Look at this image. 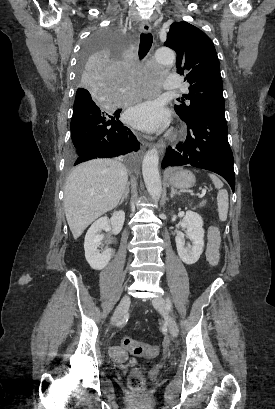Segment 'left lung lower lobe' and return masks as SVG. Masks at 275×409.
Here are the masks:
<instances>
[{
  "mask_svg": "<svg viewBox=\"0 0 275 409\" xmlns=\"http://www.w3.org/2000/svg\"><path fill=\"white\" fill-rule=\"evenodd\" d=\"M189 132L176 149L168 148L162 167L191 165L213 171L227 180L233 192V155L227 138L224 116L206 114L186 122Z\"/></svg>",
  "mask_w": 275,
  "mask_h": 409,
  "instance_id": "1",
  "label": "left lung lower lobe"
}]
</instances>
